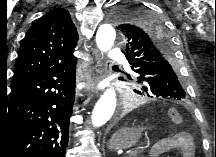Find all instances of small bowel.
Returning a JSON list of instances; mask_svg holds the SVG:
<instances>
[{
	"instance_id": "obj_1",
	"label": "small bowel",
	"mask_w": 216,
	"mask_h": 157,
	"mask_svg": "<svg viewBox=\"0 0 216 157\" xmlns=\"http://www.w3.org/2000/svg\"><path fill=\"white\" fill-rule=\"evenodd\" d=\"M167 149H176L179 151L181 157H194V141L187 132H177L169 138L166 143Z\"/></svg>"
}]
</instances>
